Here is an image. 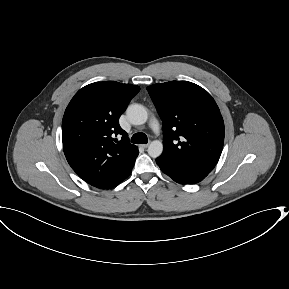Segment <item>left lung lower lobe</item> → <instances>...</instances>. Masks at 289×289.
<instances>
[{"mask_svg": "<svg viewBox=\"0 0 289 289\" xmlns=\"http://www.w3.org/2000/svg\"><path fill=\"white\" fill-rule=\"evenodd\" d=\"M163 173L180 184H195L203 180L209 172L197 171L182 167H167L159 159L156 160Z\"/></svg>", "mask_w": 289, "mask_h": 289, "instance_id": "left-lung-lower-lobe-1", "label": "left lung lower lobe"}]
</instances>
